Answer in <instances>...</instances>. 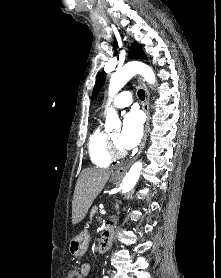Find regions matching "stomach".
I'll use <instances>...</instances> for the list:
<instances>
[{
    "instance_id": "obj_1",
    "label": "stomach",
    "mask_w": 221,
    "mask_h": 278,
    "mask_svg": "<svg viewBox=\"0 0 221 278\" xmlns=\"http://www.w3.org/2000/svg\"><path fill=\"white\" fill-rule=\"evenodd\" d=\"M120 178L116 175H112V181H118ZM90 236L87 232H81L75 236L69 244V252L75 257L82 256L89 245Z\"/></svg>"
}]
</instances>
